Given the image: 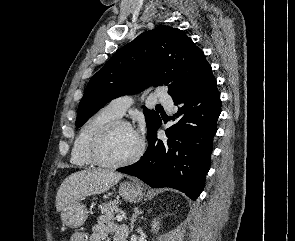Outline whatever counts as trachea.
I'll use <instances>...</instances> for the list:
<instances>
[{"label": "trachea", "instance_id": "3493384b", "mask_svg": "<svg viewBox=\"0 0 295 241\" xmlns=\"http://www.w3.org/2000/svg\"><path fill=\"white\" fill-rule=\"evenodd\" d=\"M157 107H158V108H162V106H161V105H157Z\"/></svg>", "mask_w": 295, "mask_h": 241}]
</instances>
